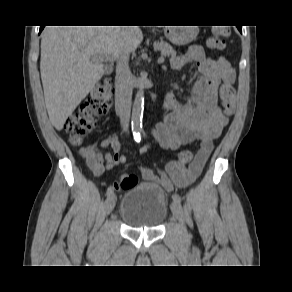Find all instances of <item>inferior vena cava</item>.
Listing matches in <instances>:
<instances>
[{
	"label": "inferior vena cava",
	"mask_w": 292,
	"mask_h": 292,
	"mask_svg": "<svg viewBox=\"0 0 292 292\" xmlns=\"http://www.w3.org/2000/svg\"><path fill=\"white\" fill-rule=\"evenodd\" d=\"M129 54H121L116 66L117 97L121 105L120 122L124 131L128 130L130 106L132 97L131 72L129 69Z\"/></svg>",
	"instance_id": "602c4592"
}]
</instances>
